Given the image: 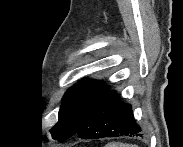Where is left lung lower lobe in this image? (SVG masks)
<instances>
[{"instance_id":"obj_1","label":"left lung lower lobe","mask_w":183,"mask_h":147,"mask_svg":"<svg viewBox=\"0 0 183 147\" xmlns=\"http://www.w3.org/2000/svg\"><path fill=\"white\" fill-rule=\"evenodd\" d=\"M141 131L134 120L132 106L123 103L115 91H108L90 111L76 135L83 139H98L140 135Z\"/></svg>"}]
</instances>
